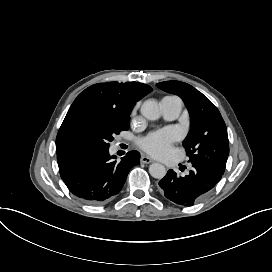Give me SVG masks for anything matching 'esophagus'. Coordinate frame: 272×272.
<instances>
[{
  "label": "esophagus",
  "mask_w": 272,
  "mask_h": 272,
  "mask_svg": "<svg viewBox=\"0 0 272 272\" xmlns=\"http://www.w3.org/2000/svg\"><path fill=\"white\" fill-rule=\"evenodd\" d=\"M140 162L141 163H152L153 160L148 156L141 155Z\"/></svg>",
  "instance_id": "34e87169"
}]
</instances>
